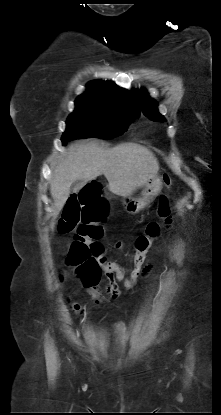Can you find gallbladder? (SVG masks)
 Masks as SVG:
<instances>
[{
	"label": "gallbladder",
	"mask_w": 221,
	"mask_h": 415,
	"mask_svg": "<svg viewBox=\"0 0 221 415\" xmlns=\"http://www.w3.org/2000/svg\"><path fill=\"white\" fill-rule=\"evenodd\" d=\"M86 184L85 181L83 180H77L75 182H73V184L71 185V190L73 192H77L79 191L84 185Z\"/></svg>",
	"instance_id": "1"
}]
</instances>
